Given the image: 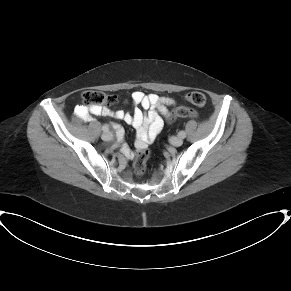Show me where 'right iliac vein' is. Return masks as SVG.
I'll return each instance as SVG.
<instances>
[{"label": "right iliac vein", "mask_w": 291, "mask_h": 291, "mask_svg": "<svg viewBox=\"0 0 291 291\" xmlns=\"http://www.w3.org/2000/svg\"><path fill=\"white\" fill-rule=\"evenodd\" d=\"M102 139L104 141H111V140H113V134L110 132H105L102 134Z\"/></svg>", "instance_id": "1"}]
</instances>
